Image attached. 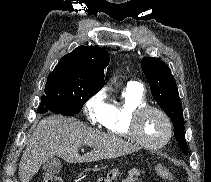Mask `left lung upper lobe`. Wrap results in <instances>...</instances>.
Here are the masks:
<instances>
[{"label": "left lung upper lobe", "instance_id": "1", "mask_svg": "<svg viewBox=\"0 0 211 182\" xmlns=\"http://www.w3.org/2000/svg\"><path fill=\"white\" fill-rule=\"evenodd\" d=\"M141 67L149 82L153 98L171 118L175 138L181 150L187 155L183 109L177 84L170 68L160 59L152 57H144Z\"/></svg>", "mask_w": 211, "mask_h": 182}]
</instances>
